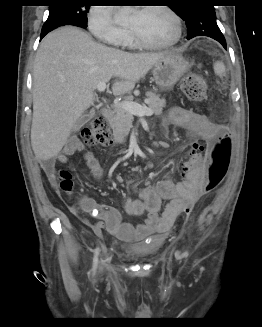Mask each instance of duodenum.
I'll return each mask as SVG.
<instances>
[{"label": "duodenum", "instance_id": "duodenum-1", "mask_svg": "<svg viewBox=\"0 0 262 327\" xmlns=\"http://www.w3.org/2000/svg\"><path fill=\"white\" fill-rule=\"evenodd\" d=\"M102 114H103L106 118L110 119V118L113 117L114 112H113V110H112L110 107H105V108L102 109Z\"/></svg>", "mask_w": 262, "mask_h": 327}]
</instances>
